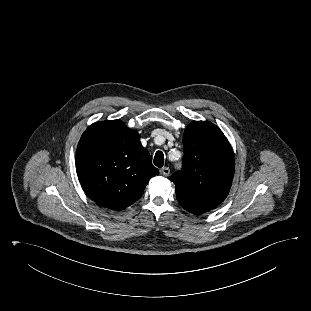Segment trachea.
Returning a JSON list of instances; mask_svg holds the SVG:
<instances>
[{
	"mask_svg": "<svg viewBox=\"0 0 311 311\" xmlns=\"http://www.w3.org/2000/svg\"><path fill=\"white\" fill-rule=\"evenodd\" d=\"M154 165L161 168L164 165V154L161 151H157L154 156Z\"/></svg>",
	"mask_w": 311,
	"mask_h": 311,
	"instance_id": "1",
	"label": "trachea"
}]
</instances>
